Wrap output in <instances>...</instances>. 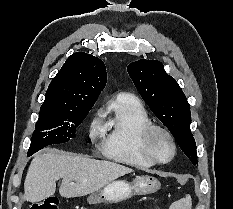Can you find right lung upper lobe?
<instances>
[{"label":"right lung upper lobe","mask_w":233,"mask_h":209,"mask_svg":"<svg viewBox=\"0 0 233 209\" xmlns=\"http://www.w3.org/2000/svg\"><path fill=\"white\" fill-rule=\"evenodd\" d=\"M106 81V67L102 60L76 52L52 79L40 113H63L74 107L94 105Z\"/></svg>","instance_id":"obj_1"}]
</instances>
